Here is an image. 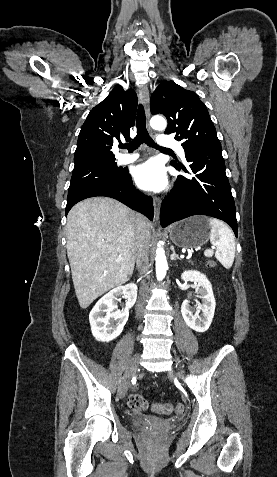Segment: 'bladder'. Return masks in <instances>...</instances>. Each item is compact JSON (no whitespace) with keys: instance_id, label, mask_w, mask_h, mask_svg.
<instances>
[{"instance_id":"bladder-1","label":"bladder","mask_w":277,"mask_h":477,"mask_svg":"<svg viewBox=\"0 0 277 477\" xmlns=\"http://www.w3.org/2000/svg\"><path fill=\"white\" fill-rule=\"evenodd\" d=\"M151 421H155V419L150 418V417H146V416H136V417L132 418L131 423L134 426H143V425H145V424H147L148 422H151Z\"/></svg>"}]
</instances>
